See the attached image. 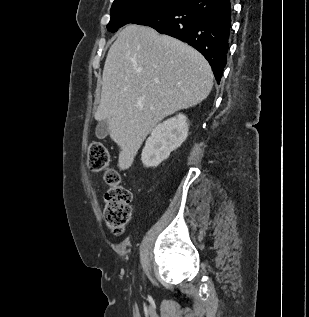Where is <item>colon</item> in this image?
Returning a JSON list of instances; mask_svg holds the SVG:
<instances>
[{"label":"colon","mask_w":309,"mask_h":317,"mask_svg":"<svg viewBox=\"0 0 309 317\" xmlns=\"http://www.w3.org/2000/svg\"><path fill=\"white\" fill-rule=\"evenodd\" d=\"M110 157L106 146L93 141L88 146L87 166L93 172L104 171V179L108 185L105 192L104 220L114 232L123 231L131 218V193L122 184L121 175L109 167Z\"/></svg>","instance_id":"colon-1"}]
</instances>
